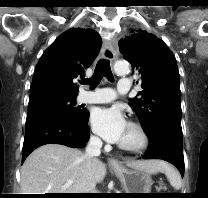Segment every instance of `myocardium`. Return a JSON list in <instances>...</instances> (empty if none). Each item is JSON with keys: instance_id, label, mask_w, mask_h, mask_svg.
Masks as SVG:
<instances>
[{"instance_id": "obj_1", "label": "myocardium", "mask_w": 208, "mask_h": 198, "mask_svg": "<svg viewBox=\"0 0 208 198\" xmlns=\"http://www.w3.org/2000/svg\"><path fill=\"white\" fill-rule=\"evenodd\" d=\"M132 128H134L138 135H139V141L136 144H124V143H118V147L124 151L131 152V153H141L145 151L149 145H150V136L145 129V127L136 121H130L128 123Z\"/></svg>"}]
</instances>
